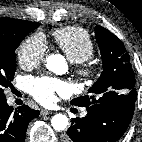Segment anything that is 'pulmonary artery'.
<instances>
[{
  "mask_svg": "<svg viewBox=\"0 0 142 142\" xmlns=\"http://www.w3.org/2000/svg\"><path fill=\"white\" fill-rule=\"evenodd\" d=\"M85 115H86V112H83V113H82V116H85Z\"/></svg>",
  "mask_w": 142,
  "mask_h": 142,
  "instance_id": "pulmonary-artery-1",
  "label": "pulmonary artery"
}]
</instances>
